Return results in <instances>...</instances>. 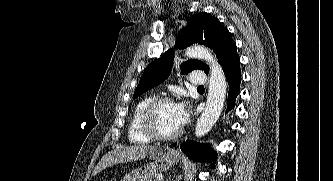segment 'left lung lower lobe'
<instances>
[{
	"label": "left lung lower lobe",
	"instance_id": "obj_1",
	"mask_svg": "<svg viewBox=\"0 0 333 181\" xmlns=\"http://www.w3.org/2000/svg\"><path fill=\"white\" fill-rule=\"evenodd\" d=\"M221 65L229 84L227 106V111H229L234 107V101L239 93L241 81L240 58L236 46L226 55ZM175 145L176 143L173 144V146ZM180 148L189 158L196 161H211L216 158L215 153L205 144L187 140L181 144Z\"/></svg>",
	"mask_w": 333,
	"mask_h": 181
}]
</instances>
